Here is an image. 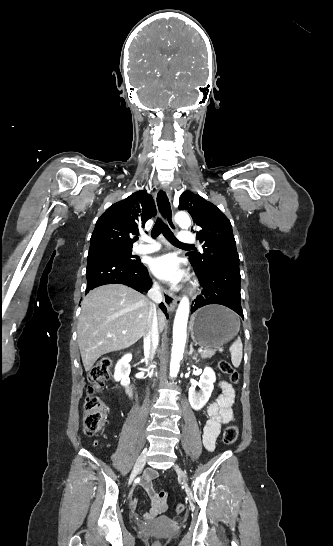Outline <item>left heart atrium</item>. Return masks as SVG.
<instances>
[{"label":"left heart atrium","mask_w":333,"mask_h":546,"mask_svg":"<svg viewBox=\"0 0 333 546\" xmlns=\"http://www.w3.org/2000/svg\"><path fill=\"white\" fill-rule=\"evenodd\" d=\"M150 268L157 277L173 284L179 283L183 278L178 262L169 254L155 257L150 263Z\"/></svg>","instance_id":"1"}]
</instances>
